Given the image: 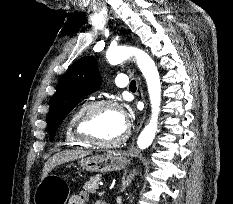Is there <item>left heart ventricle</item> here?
Here are the masks:
<instances>
[{"mask_svg": "<svg viewBox=\"0 0 233 204\" xmlns=\"http://www.w3.org/2000/svg\"><path fill=\"white\" fill-rule=\"evenodd\" d=\"M122 114L113 108H101L87 118L84 131L99 141H111L119 138L125 131Z\"/></svg>", "mask_w": 233, "mask_h": 204, "instance_id": "obj_1", "label": "left heart ventricle"}]
</instances>
